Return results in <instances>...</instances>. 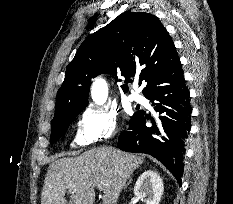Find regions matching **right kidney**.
<instances>
[{"label": "right kidney", "instance_id": "right-kidney-1", "mask_svg": "<svg viewBox=\"0 0 233 204\" xmlns=\"http://www.w3.org/2000/svg\"><path fill=\"white\" fill-rule=\"evenodd\" d=\"M163 190L161 177L152 170L143 172L134 186V194L138 198H144L146 204H159Z\"/></svg>", "mask_w": 233, "mask_h": 204}]
</instances>
